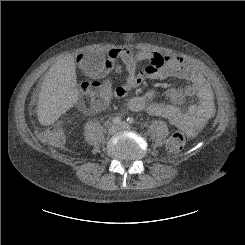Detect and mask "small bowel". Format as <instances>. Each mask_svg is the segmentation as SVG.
<instances>
[{
    "label": "small bowel",
    "mask_w": 245,
    "mask_h": 245,
    "mask_svg": "<svg viewBox=\"0 0 245 245\" xmlns=\"http://www.w3.org/2000/svg\"><path fill=\"white\" fill-rule=\"evenodd\" d=\"M110 59L97 72L104 76L111 70L113 59L121 58L125 65L126 78L123 83L115 86L108 93H99L90 87H84L85 102L79 108L86 114H95L104 110L115 98L125 97L132 89L144 86L150 80H164L167 78H181L188 80L189 85L171 88L166 91L170 103L160 102L153 93H146L130 99L127 106L135 112H145L166 118L177 129L192 135L203 127L213 115V92L200 72L190 66L184 58L178 55L140 50L136 54L126 46L115 47L109 51ZM141 62H147L143 69H138ZM160 62L162 64L160 65ZM69 77L72 70H67ZM196 96L197 104L188 108L180 105L185 98Z\"/></svg>",
    "instance_id": "small-bowel-1"
}]
</instances>
